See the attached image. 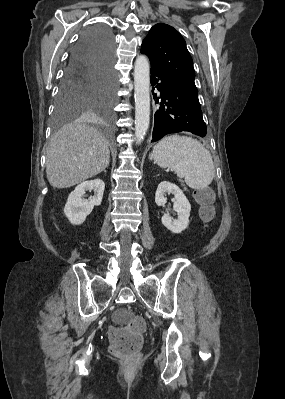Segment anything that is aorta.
I'll return each mask as SVG.
<instances>
[{
    "mask_svg": "<svg viewBox=\"0 0 285 399\" xmlns=\"http://www.w3.org/2000/svg\"><path fill=\"white\" fill-rule=\"evenodd\" d=\"M135 139L139 145L150 124V64L145 55H140L135 61Z\"/></svg>",
    "mask_w": 285,
    "mask_h": 399,
    "instance_id": "obj_1",
    "label": "aorta"
}]
</instances>
